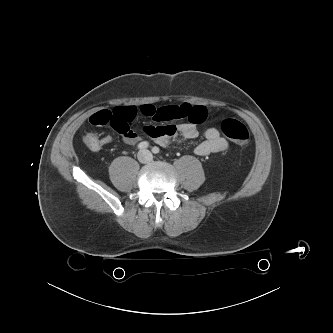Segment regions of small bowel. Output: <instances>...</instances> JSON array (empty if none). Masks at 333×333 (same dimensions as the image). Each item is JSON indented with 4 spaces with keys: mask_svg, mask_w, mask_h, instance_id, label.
I'll return each mask as SVG.
<instances>
[{
    "mask_svg": "<svg viewBox=\"0 0 333 333\" xmlns=\"http://www.w3.org/2000/svg\"><path fill=\"white\" fill-rule=\"evenodd\" d=\"M127 108L129 107L117 108L111 112L122 121L120 116ZM140 112L155 122V124L145 126L143 132L161 146L197 138L199 136L198 125L203 123L208 116V111L204 106L189 103L163 108L143 105L140 107ZM97 113L93 114L89 121L91 124L98 126L95 119ZM177 120H185V122L175 124ZM112 127L123 136L124 142L129 145H135L142 140L140 134L129 125L125 130H118L115 126ZM104 140L108 142L109 138ZM228 147L227 140L220 135L216 128L211 127L205 131L204 139L195 147V153L199 156H207L212 153L223 152Z\"/></svg>",
    "mask_w": 333,
    "mask_h": 333,
    "instance_id": "1",
    "label": "small bowel"
}]
</instances>
